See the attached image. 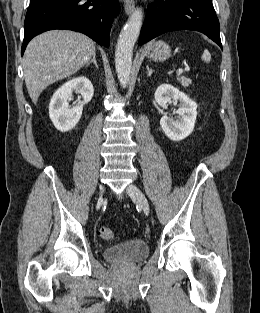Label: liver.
Instances as JSON below:
<instances>
[{
    "instance_id": "liver-1",
    "label": "liver",
    "mask_w": 260,
    "mask_h": 313,
    "mask_svg": "<svg viewBox=\"0 0 260 313\" xmlns=\"http://www.w3.org/2000/svg\"><path fill=\"white\" fill-rule=\"evenodd\" d=\"M95 53V43L86 35L69 30H52L33 38L23 62L29 96L37 103L50 84L81 69Z\"/></svg>"
}]
</instances>
